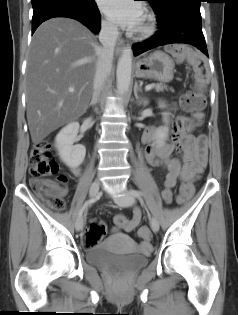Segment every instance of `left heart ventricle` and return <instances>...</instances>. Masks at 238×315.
<instances>
[{
    "label": "left heart ventricle",
    "mask_w": 238,
    "mask_h": 315,
    "mask_svg": "<svg viewBox=\"0 0 238 315\" xmlns=\"http://www.w3.org/2000/svg\"><path fill=\"white\" fill-rule=\"evenodd\" d=\"M143 23H144V18H143V20H142V22H141L140 26H142V25H143ZM140 26H139V27H140Z\"/></svg>",
    "instance_id": "b2bd125f"
}]
</instances>
